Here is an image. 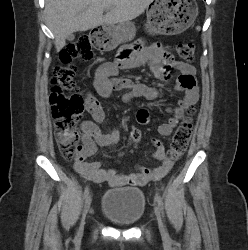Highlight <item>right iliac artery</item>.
<instances>
[{"label":"right iliac artery","mask_w":248,"mask_h":250,"mask_svg":"<svg viewBox=\"0 0 248 250\" xmlns=\"http://www.w3.org/2000/svg\"><path fill=\"white\" fill-rule=\"evenodd\" d=\"M88 194H89V187H86L85 188V191L83 193V197H82V200L83 202L86 200V198L88 197Z\"/></svg>","instance_id":"obj_1"}]
</instances>
